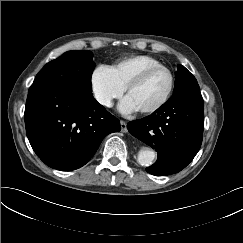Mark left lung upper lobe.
Segmentation results:
<instances>
[{
	"label": "left lung upper lobe",
	"mask_w": 243,
	"mask_h": 243,
	"mask_svg": "<svg viewBox=\"0 0 243 243\" xmlns=\"http://www.w3.org/2000/svg\"><path fill=\"white\" fill-rule=\"evenodd\" d=\"M188 89L199 90L197 80L184 66L178 65V72L175 76V88L173 94Z\"/></svg>",
	"instance_id": "5c2ea615"
}]
</instances>
